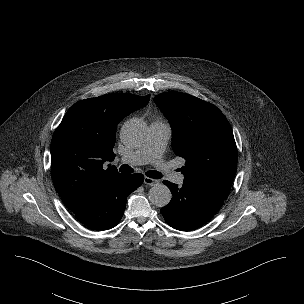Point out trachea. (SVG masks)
I'll list each match as a JSON object with an SVG mask.
<instances>
[{
    "label": "trachea",
    "mask_w": 304,
    "mask_h": 304,
    "mask_svg": "<svg viewBox=\"0 0 304 304\" xmlns=\"http://www.w3.org/2000/svg\"><path fill=\"white\" fill-rule=\"evenodd\" d=\"M119 171L122 173H132L133 169L129 165L123 164L122 166H120ZM146 176L154 179H159L162 177L161 173H159L158 171H147Z\"/></svg>",
    "instance_id": "trachea-1"
}]
</instances>
